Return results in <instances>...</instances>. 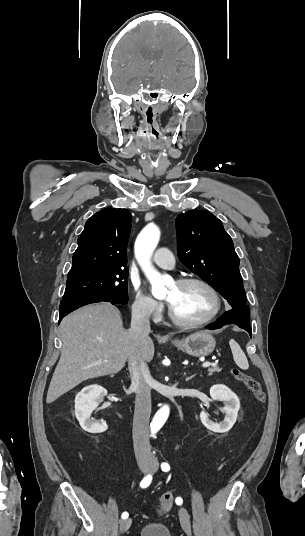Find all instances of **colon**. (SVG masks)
I'll list each match as a JSON object with an SVG mask.
<instances>
[{
    "mask_svg": "<svg viewBox=\"0 0 305 536\" xmlns=\"http://www.w3.org/2000/svg\"><path fill=\"white\" fill-rule=\"evenodd\" d=\"M230 374L234 379L246 385L259 403L265 402L266 392L259 380L255 379L249 374H246L239 368H232L230 370ZM173 501V494L171 492H164L158 500L156 508L157 512L167 513L168 511H170L173 507Z\"/></svg>",
    "mask_w": 305,
    "mask_h": 536,
    "instance_id": "5ec220e1",
    "label": "colon"
}]
</instances>
